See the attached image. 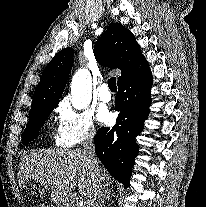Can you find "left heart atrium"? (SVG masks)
I'll use <instances>...</instances> for the list:
<instances>
[{"instance_id": "obj_1", "label": "left heart atrium", "mask_w": 206, "mask_h": 207, "mask_svg": "<svg viewBox=\"0 0 206 207\" xmlns=\"http://www.w3.org/2000/svg\"><path fill=\"white\" fill-rule=\"evenodd\" d=\"M100 121L102 123L108 124L110 123L111 119H112V115L110 114V112H108L107 110L102 111L100 113V117H99Z\"/></svg>"}]
</instances>
